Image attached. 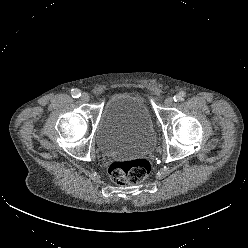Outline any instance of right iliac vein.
<instances>
[{
	"label": "right iliac vein",
	"mask_w": 248,
	"mask_h": 248,
	"mask_svg": "<svg viewBox=\"0 0 248 248\" xmlns=\"http://www.w3.org/2000/svg\"><path fill=\"white\" fill-rule=\"evenodd\" d=\"M81 100L84 102H88L90 100V96L88 93L84 92L81 94Z\"/></svg>",
	"instance_id": "obj_1"
}]
</instances>
